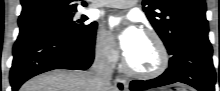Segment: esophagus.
I'll return each instance as SVG.
<instances>
[{
    "label": "esophagus",
    "instance_id": "1",
    "mask_svg": "<svg viewBox=\"0 0 220 91\" xmlns=\"http://www.w3.org/2000/svg\"><path fill=\"white\" fill-rule=\"evenodd\" d=\"M115 88L117 91H126L127 90V82L125 79L117 77L115 80Z\"/></svg>",
    "mask_w": 220,
    "mask_h": 91
}]
</instances>
